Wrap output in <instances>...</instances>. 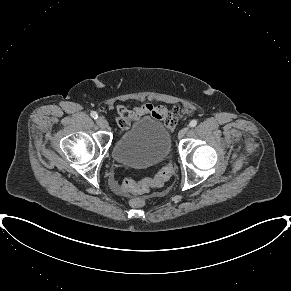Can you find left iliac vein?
Wrapping results in <instances>:
<instances>
[{
	"label": "left iliac vein",
	"mask_w": 291,
	"mask_h": 291,
	"mask_svg": "<svg viewBox=\"0 0 291 291\" xmlns=\"http://www.w3.org/2000/svg\"><path fill=\"white\" fill-rule=\"evenodd\" d=\"M188 130H189L188 127H184V128H182V129L179 131V133H178V138H179V139H182V138L186 135V133L188 132Z\"/></svg>",
	"instance_id": "obj_1"
}]
</instances>
